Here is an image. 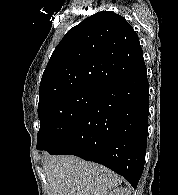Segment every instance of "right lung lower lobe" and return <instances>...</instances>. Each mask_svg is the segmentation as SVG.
I'll list each match as a JSON object with an SVG mask.
<instances>
[{
	"label": "right lung lower lobe",
	"mask_w": 178,
	"mask_h": 195,
	"mask_svg": "<svg viewBox=\"0 0 178 195\" xmlns=\"http://www.w3.org/2000/svg\"><path fill=\"white\" fill-rule=\"evenodd\" d=\"M146 67L98 91L85 116L49 153L75 155L122 175L133 188L144 169L148 134Z\"/></svg>",
	"instance_id": "obj_1"
}]
</instances>
